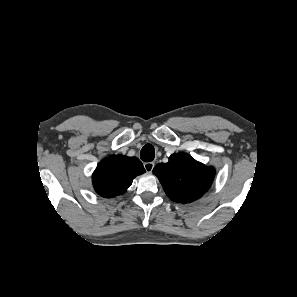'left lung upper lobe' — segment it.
<instances>
[{"label": "left lung upper lobe", "instance_id": "5c2ea615", "mask_svg": "<svg viewBox=\"0 0 297 297\" xmlns=\"http://www.w3.org/2000/svg\"><path fill=\"white\" fill-rule=\"evenodd\" d=\"M153 173L171 200L188 203L200 198L210 188L215 170L180 152L171 155L168 163L156 165Z\"/></svg>", "mask_w": 297, "mask_h": 297}]
</instances>
